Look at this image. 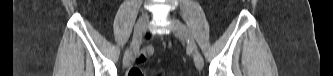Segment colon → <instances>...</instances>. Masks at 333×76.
Returning a JSON list of instances; mask_svg holds the SVG:
<instances>
[{
	"label": "colon",
	"mask_w": 333,
	"mask_h": 76,
	"mask_svg": "<svg viewBox=\"0 0 333 76\" xmlns=\"http://www.w3.org/2000/svg\"><path fill=\"white\" fill-rule=\"evenodd\" d=\"M143 72L139 71L135 68H132L128 71L127 76H143ZM157 75L164 76L165 74L163 72H159Z\"/></svg>",
	"instance_id": "colon-1"
}]
</instances>
